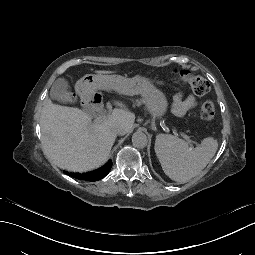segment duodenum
<instances>
[{
  "mask_svg": "<svg viewBox=\"0 0 255 255\" xmlns=\"http://www.w3.org/2000/svg\"><path fill=\"white\" fill-rule=\"evenodd\" d=\"M78 93L87 111L97 116L104 113L105 109L102 96L93 89L90 83H81L78 87Z\"/></svg>",
  "mask_w": 255,
  "mask_h": 255,
  "instance_id": "obj_1",
  "label": "duodenum"
}]
</instances>
